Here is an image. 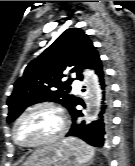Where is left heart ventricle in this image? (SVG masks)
<instances>
[{
    "label": "left heart ventricle",
    "mask_w": 135,
    "mask_h": 166,
    "mask_svg": "<svg viewBox=\"0 0 135 166\" xmlns=\"http://www.w3.org/2000/svg\"><path fill=\"white\" fill-rule=\"evenodd\" d=\"M59 124V117L56 112L50 109L34 110L18 124L16 137L21 143H35L54 135Z\"/></svg>",
    "instance_id": "1"
}]
</instances>
